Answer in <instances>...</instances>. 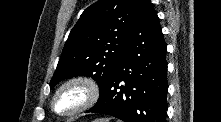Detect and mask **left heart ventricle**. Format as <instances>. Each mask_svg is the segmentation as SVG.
I'll return each mask as SVG.
<instances>
[{
  "mask_svg": "<svg viewBox=\"0 0 221 122\" xmlns=\"http://www.w3.org/2000/svg\"><path fill=\"white\" fill-rule=\"evenodd\" d=\"M84 94L79 88L73 87L61 93L56 101L58 111L65 112L76 108L83 101Z\"/></svg>",
  "mask_w": 221,
  "mask_h": 122,
  "instance_id": "obj_1",
  "label": "left heart ventricle"
}]
</instances>
